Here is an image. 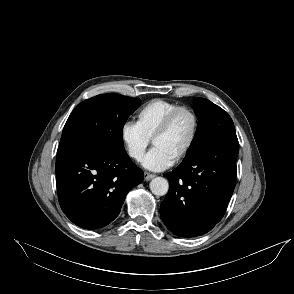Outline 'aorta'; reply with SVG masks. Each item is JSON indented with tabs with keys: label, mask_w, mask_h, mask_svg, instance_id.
I'll return each mask as SVG.
<instances>
[{
	"label": "aorta",
	"mask_w": 294,
	"mask_h": 294,
	"mask_svg": "<svg viewBox=\"0 0 294 294\" xmlns=\"http://www.w3.org/2000/svg\"><path fill=\"white\" fill-rule=\"evenodd\" d=\"M169 183L163 177H156L150 182V190L154 195L163 196L168 192Z\"/></svg>",
	"instance_id": "aorta-1"
}]
</instances>
